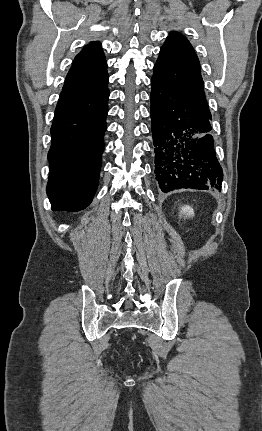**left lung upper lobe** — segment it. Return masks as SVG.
Segmentation results:
<instances>
[{
	"mask_svg": "<svg viewBox=\"0 0 262 431\" xmlns=\"http://www.w3.org/2000/svg\"><path fill=\"white\" fill-rule=\"evenodd\" d=\"M152 79L159 80L186 96L211 115L204 95L199 60L183 35L171 32L167 37L154 66Z\"/></svg>",
	"mask_w": 262,
	"mask_h": 431,
	"instance_id": "5c2ea615",
	"label": "left lung upper lobe"
}]
</instances>
